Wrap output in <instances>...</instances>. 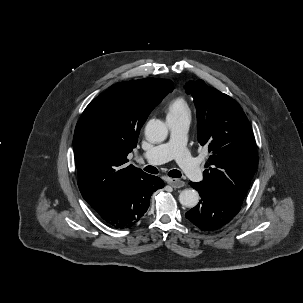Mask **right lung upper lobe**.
<instances>
[{"label":"right lung upper lobe","instance_id":"right-lung-upper-lobe-1","mask_svg":"<svg viewBox=\"0 0 303 303\" xmlns=\"http://www.w3.org/2000/svg\"><path fill=\"white\" fill-rule=\"evenodd\" d=\"M173 89L169 79L121 82L86 107L75 128L73 149L79 190L92 208L108 192L144 173L124 166L127 155L137 146L149 113Z\"/></svg>","mask_w":303,"mask_h":303}]
</instances>
